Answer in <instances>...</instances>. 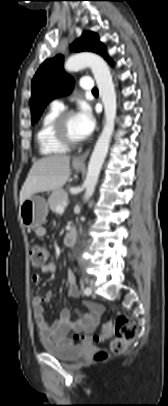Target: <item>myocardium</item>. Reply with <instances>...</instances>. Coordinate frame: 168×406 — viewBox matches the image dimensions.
Masks as SVG:
<instances>
[{"instance_id":"myocardium-1","label":"myocardium","mask_w":168,"mask_h":406,"mask_svg":"<svg viewBox=\"0 0 168 406\" xmlns=\"http://www.w3.org/2000/svg\"><path fill=\"white\" fill-rule=\"evenodd\" d=\"M74 115L73 110H65L62 111L56 118L54 125H53V133L56 140L67 146V147H75L83 142V138L76 140L71 138L66 130V121L67 119Z\"/></svg>"}]
</instances>
